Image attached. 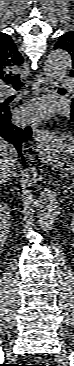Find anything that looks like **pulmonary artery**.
<instances>
[{
	"instance_id": "1",
	"label": "pulmonary artery",
	"mask_w": 74,
	"mask_h": 366,
	"mask_svg": "<svg viewBox=\"0 0 74 366\" xmlns=\"http://www.w3.org/2000/svg\"><path fill=\"white\" fill-rule=\"evenodd\" d=\"M61 86L64 88H71L73 86V81L68 78L61 79ZM12 93L13 91L11 89L5 91L6 96L11 95Z\"/></svg>"
}]
</instances>
